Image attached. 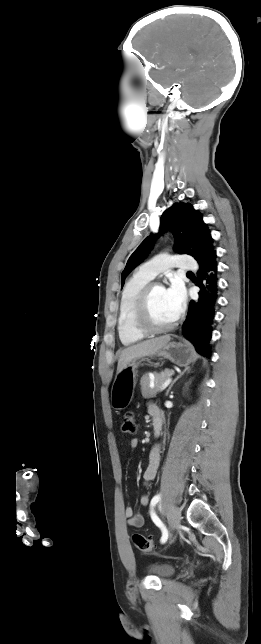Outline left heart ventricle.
Segmentation results:
<instances>
[{
  "label": "left heart ventricle",
  "mask_w": 261,
  "mask_h": 644,
  "mask_svg": "<svg viewBox=\"0 0 261 644\" xmlns=\"http://www.w3.org/2000/svg\"><path fill=\"white\" fill-rule=\"evenodd\" d=\"M149 317L156 326H165L176 318L164 288L153 289L149 301Z\"/></svg>",
  "instance_id": "left-heart-ventricle-1"
}]
</instances>
